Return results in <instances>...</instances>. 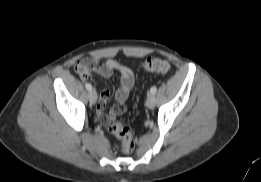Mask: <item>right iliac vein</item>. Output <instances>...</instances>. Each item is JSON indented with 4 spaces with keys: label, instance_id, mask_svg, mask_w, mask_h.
I'll return each mask as SVG.
<instances>
[{
    "label": "right iliac vein",
    "instance_id": "63e3f726",
    "mask_svg": "<svg viewBox=\"0 0 261 182\" xmlns=\"http://www.w3.org/2000/svg\"><path fill=\"white\" fill-rule=\"evenodd\" d=\"M88 98H89L90 103L95 104L97 101V93L94 90H91L88 93Z\"/></svg>",
    "mask_w": 261,
    "mask_h": 182
}]
</instances>
